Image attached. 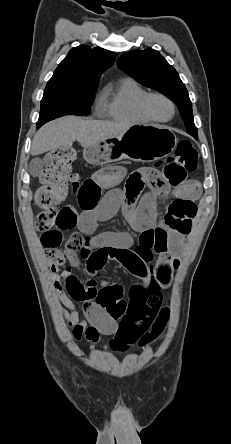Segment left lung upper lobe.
<instances>
[{"label": "left lung upper lobe", "instance_id": "obj_1", "mask_svg": "<svg viewBox=\"0 0 231 444\" xmlns=\"http://www.w3.org/2000/svg\"><path fill=\"white\" fill-rule=\"evenodd\" d=\"M118 67L139 83L170 97L182 114L187 133L197 138L192 103L177 71L156 50H135L118 59Z\"/></svg>", "mask_w": 231, "mask_h": 444}]
</instances>
